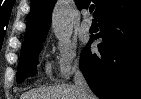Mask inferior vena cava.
I'll use <instances>...</instances> for the list:
<instances>
[{
    "instance_id": "obj_1",
    "label": "inferior vena cava",
    "mask_w": 141,
    "mask_h": 99,
    "mask_svg": "<svg viewBox=\"0 0 141 99\" xmlns=\"http://www.w3.org/2000/svg\"><path fill=\"white\" fill-rule=\"evenodd\" d=\"M74 85L79 92L80 99H96L78 67L74 68Z\"/></svg>"
}]
</instances>
